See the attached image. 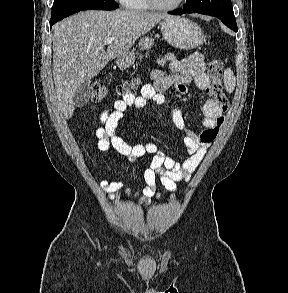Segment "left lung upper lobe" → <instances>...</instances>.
<instances>
[{"label":"left lung upper lobe","mask_w":288,"mask_h":293,"mask_svg":"<svg viewBox=\"0 0 288 293\" xmlns=\"http://www.w3.org/2000/svg\"><path fill=\"white\" fill-rule=\"evenodd\" d=\"M185 8L212 11L228 17H235L231 0H186Z\"/></svg>","instance_id":"left-lung-upper-lobe-1"}]
</instances>
